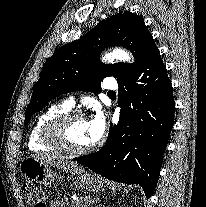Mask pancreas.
Listing matches in <instances>:
<instances>
[{
    "label": "pancreas",
    "instance_id": "1",
    "mask_svg": "<svg viewBox=\"0 0 206 207\" xmlns=\"http://www.w3.org/2000/svg\"><path fill=\"white\" fill-rule=\"evenodd\" d=\"M65 200H62L59 202V206L60 207H65ZM72 207H87V203L86 202H79V201H74L73 204H72Z\"/></svg>",
    "mask_w": 206,
    "mask_h": 207
}]
</instances>
